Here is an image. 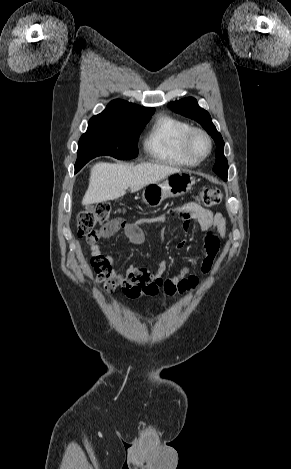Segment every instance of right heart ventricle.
I'll use <instances>...</instances> for the list:
<instances>
[{
    "label": "right heart ventricle",
    "mask_w": 291,
    "mask_h": 469,
    "mask_svg": "<svg viewBox=\"0 0 291 469\" xmlns=\"http://www.w3.org/2000/svg\"><path fill=\"white\" fill-rule=\"evenodd\" d=\"M190 124L171 115L155 118L144 139V150L153 160L178 167H193L197 162L187 157L182 149V138Z\"/></svg>",
    "instance_id": "1"
}]
</instances>
